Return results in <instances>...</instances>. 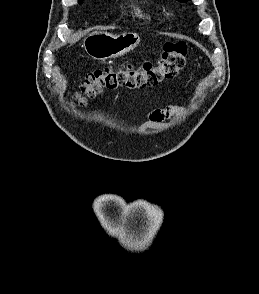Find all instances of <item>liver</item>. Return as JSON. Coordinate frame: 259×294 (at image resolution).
I'll return each mask as SVG.
<instances>
[{
	"mask_svg": "<svg viewBox=\"0 0 259 294\" xmlns=\"http://www.w3.org/2000/svg\"><path fill=\"white\" fill-rule=\"evenodd\" d=\"M80 38H81V33H75V34L72 36L71 43H75V42L78 41Z\"/></svg>",
	"mask_w": 259,
	"mask_h": 294,
	"instance_id": "6515ba94",
	"label": "liver"
}]
</instances>
